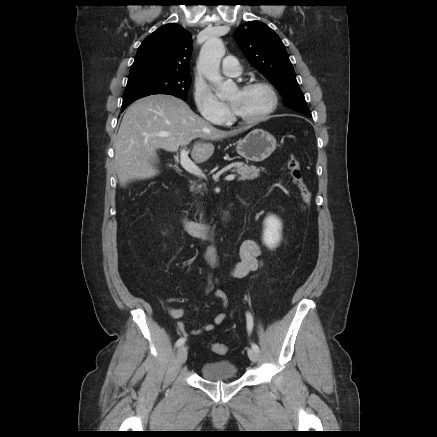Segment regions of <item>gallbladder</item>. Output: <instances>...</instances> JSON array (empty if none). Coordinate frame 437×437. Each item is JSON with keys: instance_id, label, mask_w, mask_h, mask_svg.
<instances>
[{"instance_id": "1", "label": "gallbladder", "mask_w": 437, "mask_h": 437, "mask_svg": "<svg viewBox=\"0 0 437 437\" xmlns=\"http://www.w3.org/2000/svg\"><path fill=\"white\" fill-rule=\"evenodd\" d=\"M156 163V160L155 159H153V161H152V164H155Z\"/></svg>"}]
</instances>
